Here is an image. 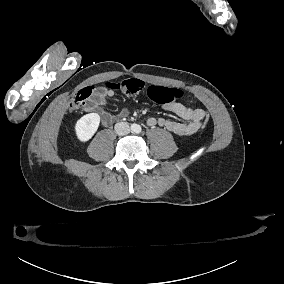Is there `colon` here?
<instances>
[{"label":"colon","instance_id":"5ec220e1","mask_svg":"<svg viewBox=\"0 0 284 284\" xmlns=\"http://www.w3.org/2000/svg\"><path fill=\"white\" fill-rule=\"evenodd\" d=\"M104 87L111 90H122L125 93H137L142 91L145 87V83L138 79L126 80L123 83L105 82ZM96 86H88L74 93L70 101V109L73 112L78 111L83 105L86 98H88ZM147 96L152 101H158L165 103L168 101H180L185 92L180 88H163L161 86H152L147 91ZM210 114H205L204 123H202V130H207V124L209 123Z\"/></svg>","mask_w":284,"mask_h":284}]
</instances>
